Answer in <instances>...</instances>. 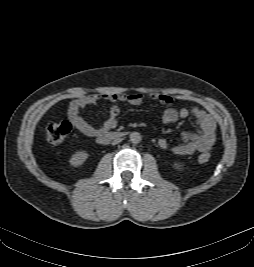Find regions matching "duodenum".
<instances>
[{"label": "duodenum", "instance_id": "duodenum-1", "mask_svg": "<svg viewBox=\"0 0 254 267\" xmlns=\"http://www.w3.org/2000/svg\"><path fill=\"white\" fill-rule=\"evenodd\" d=\"M124 135L123 132H107L105 134L100 135L97 140L98 142L105 144L110 142L113 139L122 137Z\"/></svg>", "mask_w": 254, "mask_h": 267}]
</instances>
